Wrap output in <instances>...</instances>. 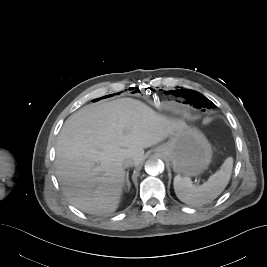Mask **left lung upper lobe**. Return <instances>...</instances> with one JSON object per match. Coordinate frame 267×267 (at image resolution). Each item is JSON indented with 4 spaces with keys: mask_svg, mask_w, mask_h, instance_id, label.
<instances>
[{
    "mask_svg": "<svg viewBox=\"0 0 267 267\" xmlns=\"http://www.w3.org/2000/svg\"><path fill=\"white\" fill-rule=\"evenodd\" d=\"M179 94L178 95H183L184 97H186V94L185 93H183L184 91H182V90H178L177 91ZM191 93H193V94H197L198 96H199V98H197L196 96H195V100H196V98H197V101L196 102H194V101H192L193 103H195L196 104V106L198 107V108H200V107H205V108H213V107H215V105L209 100V99H207L205 96H203V95H201V94H199V93H195V92H191ZM194 96V95H193ZM201 97V98H200ZM191 99H192V96H191Z\"/></svg>",
    "mask_w": 267,
    "mask_h": 267,
    "instance_id": "left-lung-upper-lobe-1",
    "label": "left lung upper lobe"
}]
</instances>
